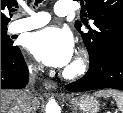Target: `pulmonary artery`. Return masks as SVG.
<instances>
[{"mask_svg":"<svg viewBox=\"0 0 123 113\" xmlns=\"http://www.w3.org/2000/svg\"><path fill=\"white\" fill-rule=\"evenodd\" d=\"M27 17L17 19L10 27L12 33L30 31L46 25L50 20V15L47 12H35L29 8L25 9ZM54 11L59 16H65L73 11L72 2L58 1L54 6Z\"/></svg>","mask_w":123,"mask_h":113,"instance_id":"pulmonary-artery-1","label":"pulmonary artery"}]
</instances>
